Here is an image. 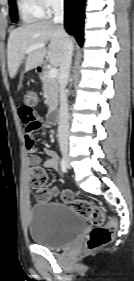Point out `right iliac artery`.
Here are the masks:
<instances>
[{
  "mask_svg": "<svg viewBox=\"0 0 134 281\" xmlns=\"http://www.w3.org/2000/svg\"><path fill=\"white\" fill-rule=\"evenodd\" d=\"M60 165H61V171L63 173L66 172L67 165H66V162H65L64 158H61Z\"/></svg>",
  "mask_w": 134,
  "mask_h": 281,
  "instance_id": "82829eb1",
  "label": "right iliac artery"
}]
</instances>
